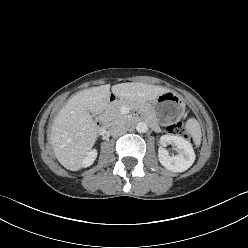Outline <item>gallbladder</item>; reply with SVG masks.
I'll return each mask as SVG.
<instances>
[{
    "mask_svg": "<svg viewBox=\"0 0 248 248\" xmlns=\"http://www.w3.org/2000/svg\"><path fill=\"white\" fill-rule=\"evenodd\" d=\"M91 114V116H95L93 113H90Z\"/></svg>",
    "mask_w": 248,
    "mask_h": 248,
    "instance_id": "gallbladder-1",
    "label": "gallbladder"
}]
</instances>
